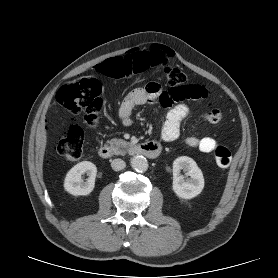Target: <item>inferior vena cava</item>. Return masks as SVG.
<instances>
[{
	"label": "inferior vena cava",
	"instance_id": "602c4592",
	"mask_svg": "<svg viewBox=\"0 0 278 278\" xmlns=\"http://www.w3.org/2000/svg\"><path fill=\"white\" fill-rule=\"evenodd\" d=\"M111 167L115 171H120L126 167V163L122 159H114L111 162Z\"/></svg>",
	"mask_w": 278,
	"mask_h": 278
}]
</instances>
